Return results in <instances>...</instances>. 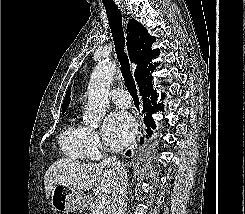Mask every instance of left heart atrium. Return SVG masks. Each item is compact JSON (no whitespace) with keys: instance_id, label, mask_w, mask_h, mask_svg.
Returning <instances> with one entry per match:
<instances>
[{"instance_id":"obj_1","label":"left heart atrium","mask_w":245,"mask_h":214,"mask_svg":"<svg viewBox=\"0 0 245 214\" xmlns=\"http://www.w3.org/2000/svg\"><path fill=\"white\" fill-rule=\"evenodd\" d=\"M136 123L126 111L117 110L110 113L103 124V135L111 150L125 147L134 137Z\"/></svg>"}]
</instances>
